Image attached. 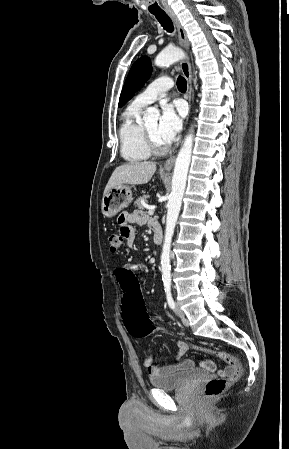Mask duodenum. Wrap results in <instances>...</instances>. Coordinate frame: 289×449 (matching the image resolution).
Returning <instances> with one entry per match:
<instances>
[{
  "label": "duodenum",
  "instance_id": "duodenum-1",
  "mask_svg": "<svg viewBox=\"0 0 289 449\" xmlns=\"http://www.w3.org/2000/svg\"><path fill=\"white\" fill-rule=\"evenodd\" d=\"M153 240H154V243L157 245H160L163 242V232H162L161 227L158 224L154 225Z\"/></svg>",
  "mask_w": 289,
  "mask_h": 449
}]
</instances>
